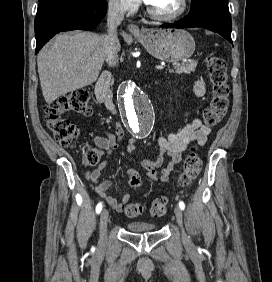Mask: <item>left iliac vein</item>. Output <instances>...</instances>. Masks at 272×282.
<instances>
[{"mask_svg": "<svg viewBox=\"0 0 272 282\" xmlns=\"http://www.w3.org/2000/svg\"><path fill=\"white\" fill-rule=\"evenodd\" d=\"M174 212H175L177 223H178L179 227L181 228L182 240L186 245H188L189 239H188L185 231L183 230V212H182V209L179 206H176L175 209H174Z\"/></svg>", "mask_w": 272, "mask_h": 282, "instance_id": "obj_1", "label": "left iliac vein"}]
</instances>
